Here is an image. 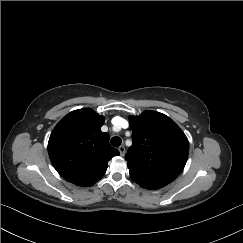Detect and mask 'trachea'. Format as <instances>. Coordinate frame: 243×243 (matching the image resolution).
<instances>
[{
  "label": "trachea",
  "instance_id": "3493384b",
  "mask_svg": "<svg viewBox=\"0 0 243 243\" xmlns=\"http://www.w3.org/2000/svg\"><path fill=\"white\" fill-rule=\"evenodd\" d=\"M121 143H122V139L120 137L115 136L111 139V144L114 147H118Z\"/></svg>",
  "mask_w": 243,
  "mask_h": 243
}]
</instances>
